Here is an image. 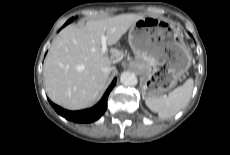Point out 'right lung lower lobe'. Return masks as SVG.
I'll return each mask as SVG.
<instances>
[{
  "label": "right lung lower lobe",
  "instance_id": "obj_1",
  "mask_svg": "<svg viewBox=\"0 0 230 155\" xmlns=\"http://www.w3.org/2000/svg\"><path fill=\"white\" fill-rule=\"evenodd\" d=\"M69 23H66L67 25ZM116 79L113 80L109 88L106 90L104 96L101 101L95 105L94 107L81 111H68L65 110L50 101L52 107L56 110L58 114L66 118L67 120H71L78 123H90L99 119L107 108V98L113 87L115 86Z\"/></svg>",
  "mask_w": 230,
  "mask_h": 155
}]
</instances>
